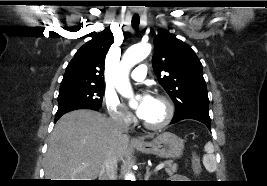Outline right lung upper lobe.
<instances>
[{
  "label": "right lung upper lobe",
  "instance_id": "cb5924a9",
  "mask_svg": "<svg viewBox=\"0 0 267 186\" xmlns=\"http://www.w3.org/2000/svg\"><path fill=\"white\" fill-rule=\"evenodd\" d=\"M114 42L109 29L96 33L84 44L67 66L61 86L95 85L104 86L105 57Z\"/></svg>",
  "mask_w": 267,
  "mask_h": 186
}]
</instances>
